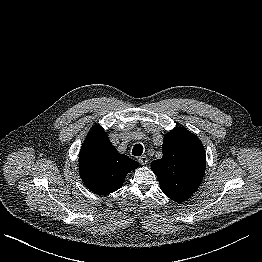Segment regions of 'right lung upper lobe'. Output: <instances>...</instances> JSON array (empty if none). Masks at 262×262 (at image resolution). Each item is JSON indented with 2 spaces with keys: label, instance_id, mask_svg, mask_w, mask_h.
<instances>
[{
  "label": "right lung upper lobe",
  "instance_id": "obj_1",
  "mask_svg": "<svg viewBox=\"0 0 262 262\" xmlns=\"http://www.w3.org/2000/svg\"><path fill=\"white\" fill-rule=\"evenodd\" d=\"M138 167V162L118 153L101 126L91 128L79 154L80 176L90 191L98 195L113 193Z\"/></svg>",
  "mask_w": 262,
  "mask_h": 262
}]
</instances>
